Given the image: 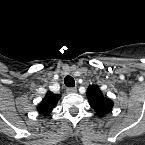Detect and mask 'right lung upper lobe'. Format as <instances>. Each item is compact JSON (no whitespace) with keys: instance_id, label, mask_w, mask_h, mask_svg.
I'll use <instances>...</instances> for the list:
<instances>
[{"instance_id":"right-lung-upper-lobe-1","label":"right lung upper lobe","mask_w":145,"mask_h":145,"mask_svg":"<svg viewBox=\"0 0 145 145\" xmlns=\"http://www.w3.org/2000/svg\"><path fill=\"white\" fill-rule=\"evenodd\" d=\"M60 97L61 96L59 94H54L48 91L45 98L37 106V111L40 114L48 115L49 113H51L52 109L56 106Z\"/></svg>"}]
</instances>
